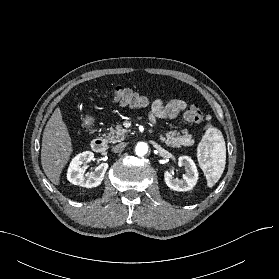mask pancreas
<instances>
[{
  "label": "pancreas",
  "mask_w": 279,
  "mask_h": 279,
  "mask_svg": "<svg viewBox=\"0 0 279 279\" xmlns=\"http://www.w3.org/2000/svg\"><path fill=\"white\" fill-rule=\"evenodd\" d=\"M129 130L124 129L122 125L118 124L115 127H111L105 138L110 143H117L123 141ZM183 135H181L176 130L168 131L165 136L160 134V141L164 142L167 146L170 147H181V146H190L194 143L192 136L188 134L186 130L182 131Z\"/></svg>",
  "instance_id": "pancreas-1"
}]
</instances>
